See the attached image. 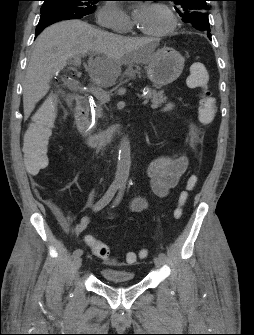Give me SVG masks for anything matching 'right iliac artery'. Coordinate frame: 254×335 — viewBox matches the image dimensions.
<instances>
[{"mask_svg":"<svg viewBox=\"0 0 254 335\" xmlns=\"http://www.w3.org/2000/svg\"><path fill=\"white\" fill-rule=\"evenodd\" d=\"M117 189H118V185L112 184L107 190V192L104 194V196L93 206V211L97 212L101 210L102 208H104L107 204H109V202L114 197ZM82 254H83L82 249H76L73 252L74 257L81 256Z\"/></svg>","mask_w":254,"mask_h":335,"instance_id":"obj_1","label":"right iliac artery"}]
</instances>
